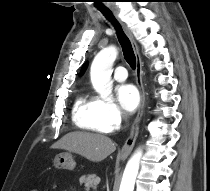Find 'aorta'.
Segmentation results:
<instances>
[{"instance_id":"1","label":"aorta","mask_w":210,"mask_h":191,"mask_svg":"<svg viewBox=\"0 0 210 191\" xmlns=\"http://www.w3.org/2000/svg\"><path fill=\"white\" fill-rule=\"evenodd\" d=\"M117 57V49L109 46L100 51L91 65V82L97 93L107 100L111 99L112 81L111 70ZM142 150L139 148L128 161L123 173L119 191H133L135 180L139 171Z\"/></svg>"}]
</instances>
